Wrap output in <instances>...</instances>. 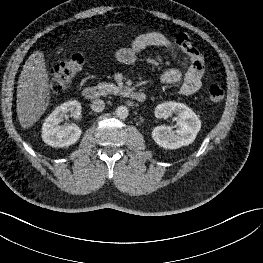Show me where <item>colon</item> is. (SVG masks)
Listing matches in <instances>:
<instances>
[{
  "instance_id": "1",
  "label": "colon",
  "mask_w": 263,
  "mask_h": 263,
  "mask_svg": "<svg viewBox=\"0 0 263 263\" xmlns=\"http://www.w3.org/2000/svg\"><path fill=\"white\" fill-rule=\"evenodd\" d=\"M84 63L80 52L73 53L50 70V88L53 92L64 91L72 82ZM224 98V90L218 85L208 89V100L212 105L219 104Z\"/></svg>"
}]
</instances>
